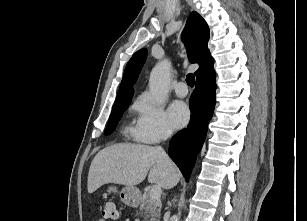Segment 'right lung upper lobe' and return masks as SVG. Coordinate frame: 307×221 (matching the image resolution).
<instances>
[{
	"label": "right lung upper lobe",
	"instance_id": "obj_1",
	"mask_svg": "<svg viewBox=\"0 0 307 221\" xmlns=\"http://www.w3.org/2000/svg\"><path fill=\"white\" fill-rule=\"evenodd\" d=\"M182 38L186 44L190 62L200 64L199 69L195 72L196 81L203 82L215 79L213 59L208 50L209 28L197 12L193 11L189 16L182 32ZM146 56L147 50L141 49L131 57L114 103L132 98L133 85L138 78Z\"/></svg>",
	"mask_w": 307,
	"mask_h": 221
}]
</instances>
